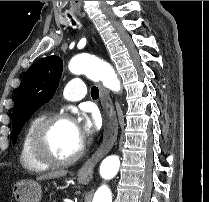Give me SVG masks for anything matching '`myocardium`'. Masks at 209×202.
I'll use <instances>...</instances> for the list:
<instances>
[{"label": "myocardium", "instance_id": "1", "mask_svg": "<svg viewBox=\"0 0 209 202\" xmlns=\"http://www.w3.org/2000/svg\"><path fill=\"white\" fill-rule=\"evenodd\" d=\"M63 121H73V118L70 115L64 113L45 117L37 125L33 132L30 143L31 153L40 164L46 167L69 166L78 161L84 153L85 147L83 143H81L78 151L75 154L65 159H57L48 152L45 142L46 136L54 125Z\"/></svg>", "mask_w": 209, "mask_h": 202}]
</instances>
